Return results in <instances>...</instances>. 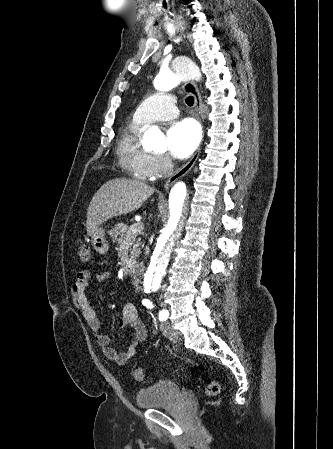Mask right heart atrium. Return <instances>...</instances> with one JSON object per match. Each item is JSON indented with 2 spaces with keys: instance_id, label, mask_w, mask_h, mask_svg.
Returning a JSON list of instances; mask_svg holds the SVG:
<instances>
[{
  "instance_id": "d8ad5b80",
  "label": "right heart atrium",
  "mask_w": 333,
  "mask_h": 449,
  "mask_svg": "<svg viewBox=\"0 0 333 449\" xmlns=\"http://www.w3.org/2000/svg\"><path fill=\"white\" fill-rule=\"evenodd\" d=\"M151 168L154 177L167 175L172 168V162L168 156L164 154H153L151 156Z\"/></svg>"
}]
</instances>
